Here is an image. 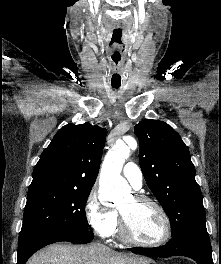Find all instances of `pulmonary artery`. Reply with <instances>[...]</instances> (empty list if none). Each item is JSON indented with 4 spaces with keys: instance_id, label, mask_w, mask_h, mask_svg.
Listing matches in <instances>:
<instances>
[{
    "instance_id": "1",
    "label": "pulmonary artery",
    "mask_w": 221,
    "mask_h": 264,
    "mask_svg": "<svg viewBox=\"0 0 221 264\" xmlns=\"http://www.w3.org/2000/svg\"><path fill=\"white\" fill-rule=\"evenodd\" d=\"M122 174L135 189L141 188L143 182V173L138 165L133 162H128L123 167Z\"/></svg>"
}]
</instances>
